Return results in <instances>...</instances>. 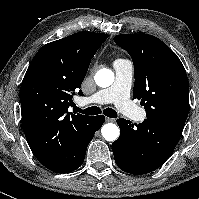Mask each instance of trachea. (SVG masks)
Instances as JSON below:
<instances>
[{
  "label": "trachea",
  "instance_id": "1",
  "mask_svg": "<svg viewBox=\"0 0 199 199\" xmlns=\"http://www.w3.org/2000/svg\"><path fill=\"white\" fill-rule=\"evenodd\" d=\"M74 110L76 112H80V113L87 114V115H97V114L101 113V109L97 106L88 107V108L82 110L79 107H77L76 105H74ZM103 114L110 118L117 117V112L115 110H113L112 108L104 109Z\"/></svg>",
  "mask_w": 199,
  "mask_h": 199
}]
</instances>
